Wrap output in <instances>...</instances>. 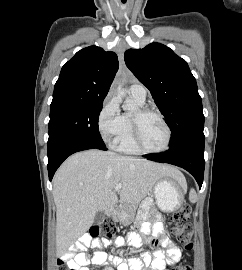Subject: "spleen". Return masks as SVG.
Masks as SVG:
<instances>
[{
	"instance_id": "spleen-1",
	"label": "spleen",
	"mask_w": 242,
	"mask_h": 270,
	"mask_svg": "<svg viewBox=\"0 0 242 270\" xmlns=\"http://www.w3.org/2000/svg\"><path fill=\"white\" fill-rule=\"evenodd\" d=\"M186 184V183H185ZM189 200L192 203H195L197 201V194L194 189H192L189 193Z\"/></svg>"
}]
</instances>
